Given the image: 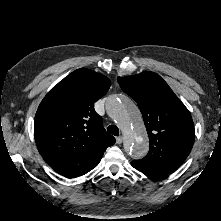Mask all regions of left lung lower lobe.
Masks as SVG:
<instances>
[{
  "label": "left lung lower lobe",
  "mask_w": 221,
  "mask_h": 221,
  "mask_svg": "<svg viewBox=\"0 0 221 221\" xmlns=\"http://www.w3.org/2000/svg\"><path fill=\"white\" fill-rule=\"evenodd\" d=\"M132 166L134 168H136L137 170L141 171L143 174H145L147 177L149 178H164L165 176H167L168 174H165V173H161V172H145V171H142L140 170L138 167H136L133 163H131Z\"/></svg>",
  "instance_id": "left-lung-lower-lobe-1"
}]
</instances>
